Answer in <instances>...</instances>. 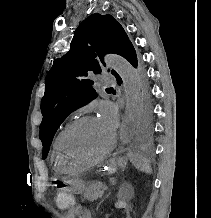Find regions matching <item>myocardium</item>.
Wrapping results in <instances>:
<instances>
[{
    "instance_id": "obj_1",
    "label": "myocardium",
    "mask_w": 211,
    "mask_h": 218,
    "mask_svg": "<svg viewBox=\"0 0 211 218\" xmlns=\"http://www.w3.org/2000/svg\"><path fill=\"white\" fill-rule=\"evenodd\" d=\"M95 118H97V117H95L94 115H85V116L79 117L78 119L74 120L67 127V129L65 130V132L62 136L61 150L59 153V156L64 163H68V160H69L66 158L65 147L67 145L70 134L73 132V130L75 128H77L82 123L89 121V120H92V119H95ZM116 144H117V134L115 132H113L112 142H111L110 146L103 153H101L100 155H98L95 158L90 159V160L72 161L71 164L76 165V166H81V167H89V166H92L94 164H97L98 162L107 158L112 153Z\"/></svg>"
}]
</instances>
